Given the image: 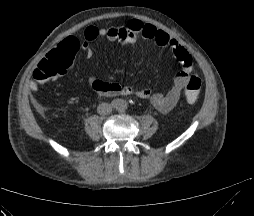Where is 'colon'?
Here are the masks:
<instances>
[{"instance_id":"colon-1","label":"colon","mask_w":254,"mask_h":216,"mask_svg":"<svg viewBox=\"0 0 254 216\" xmlns=\"http://www.w3.org/2000/svg\"><path fill=\"white\" fill-rule=\"evenodd\" d=\"M72 54L66 49H54L35 67L34 75L41 84H52L58 76L70 68ZM202 81L198 76H190L184 86L188 103H195L200 95Z\"/></svg>"}]
</instances>
